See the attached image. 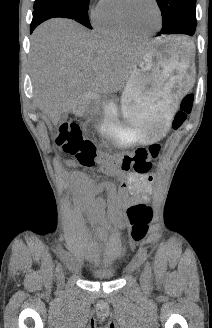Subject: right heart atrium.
<instances>
[{
	"instance_id": "right-heart-atrium-1",
	"label": "right heart atrium",
	"mask_w": 212,
	"mask_h": 328,
	"mask_svg": "<svg viewBox=\"0 0 212 328\" xmlns=\"http://www.w3.org/2000/svg\"><path fill=\"white\" fill-rule=\"evenodd\" d=\"M102 1L103 0H100V2L98 3V6L91 11V17H92V19H95L96 15H97V12L99 10V6H100V4H101Z\"/></svg>"
}]
</instances>
